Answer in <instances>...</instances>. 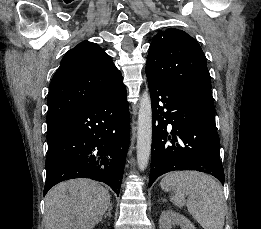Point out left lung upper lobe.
Masks as SVG:
<instances>
[{"instance_id":"5c2ea615","label":"left lung upper lobe","mask_w":261,"mask_h":229,"mask_svg":"<svg viewBox=\"0 0 261 229\" xmlns=\"http://www.w3.org/2000/svg\"><path fill=\"white\" fill-rule=\"evenodd\" d=\"M145 71L170 83L211 91L206 57L198 42L182 30L168 29L153 38Z\"/></svg>"}]
</instances>
